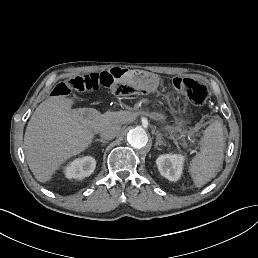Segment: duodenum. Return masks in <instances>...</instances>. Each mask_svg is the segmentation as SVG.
Wrapping results in <instances>:
<instances>
[{"label":"duodenum","instance_id":"1","mask_svg":"<svg viewBox=\"0 0 258 258\" xmlns=\"http://www.w3.org/2000/svg\"><path fill=\"white\" fill-rule=\"evenodd\" d=\"M105 78L110 82H126L135 78L134 70L123 66L113 67L104 72Z\"/></svg>","mask_w":258,"mask_h":258}]
</instances>
